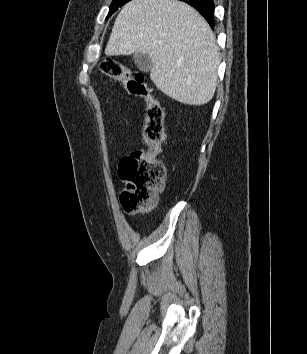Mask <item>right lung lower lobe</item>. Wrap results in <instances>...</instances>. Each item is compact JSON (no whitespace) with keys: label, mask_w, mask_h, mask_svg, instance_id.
<instances>
[{"label":"right lung lower lobe","mask_w":307,"mask_h":354,"mask_svg":"<svg viewBox=\"0 0 307 354\" xmlns=\"http://www.w3.org/2000/svg\"><path fill=\"white\" fill-rule=\"evenodd\" d=\"M200 12V14L208 21L210 26L214 27V2L213 0H181Z\"/></svg>","instance_id":"obj_1"}]
</instances>
